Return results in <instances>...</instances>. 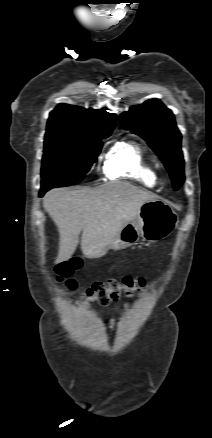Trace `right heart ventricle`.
<instances>
[{
  "instance_id": "right-heart-ventricle-1",
  "label": "right heart ventricle",
  "mask_w": 212,
  "mask_h": 438,
  "mask_svg": "<svg viewBox=\"0 0 212 438\" xmlns=\"http://www.w3.org/2000/svg\"><path fill=\"white\" fill-rule=\"evenodd\" d=\"M103 170L110 179L130 178L149 188L156 186V170L135 142L115 143L106 153Z\"/></svg>"
}]
</instances>
